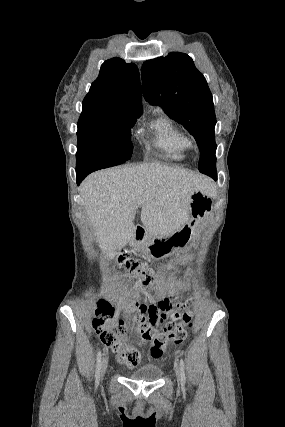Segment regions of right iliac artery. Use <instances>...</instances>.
Masks as SVG:
<instances>
[{
    "mask_svg": "<svg viewBox=\"0 0 285 427\" xmlns=\"http://www.w3.org/2000/svg\"><path fill=\"white\" fill-rule=\"evenodd\" d=\"M101 351H99L97 353V365H96V373H95V380H96V384H98V380L100 377V369H101Z\"/></svg>",
    "mask_w": 285,
    "mask_h": 427,
    "instance_id": "obj_1",
    "label": "right iliac artery"
}]
</instances>
